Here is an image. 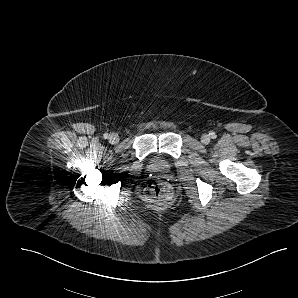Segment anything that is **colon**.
Returning a JSON list of instances; mask_svg holds the SVG:
<instances>
[{"instance_id":"colon-1","label":"colon","mask_w":298,"mask_h":298,"mask_svg":"<svg viewBox=\"0 0 298 298\" xmlns=\"http://www.w3.org/2000/svg\"><path fill=\"white\" fill-rule=\"evenodd\" d=\"M173 191L169 183L164 180H154L144 191L143 199L152 205H167L171 202Z\"/></svg>"}]
</instances>
